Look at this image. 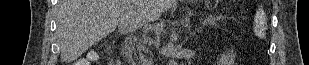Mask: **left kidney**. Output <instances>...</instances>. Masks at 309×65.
Listing matches in <instances>:
<instances>
[{
    "mask_svg": "<svg viewBox=\"0 0 309 65\" xmlns=\"http://www.w3.org/2000/svg\"><path fill=\"white\" fill-rule=\"evenodd\" d=\"M235 54L233 50H229L226 54L221 55L219 61L217 62L219 65H234L235 64Z\"/></svg>",
    "mask_w": 309,
    "mask_h": 65,
    "instance_id": "obj_1",
    "label": "left kidney"
}]
</instances>
